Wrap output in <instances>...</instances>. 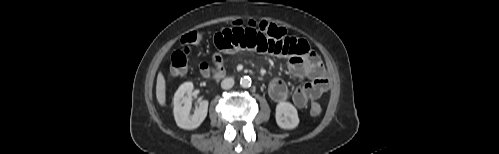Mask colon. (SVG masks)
Masks as SVG:
<instances>
[{
  "label": "colon",
  "mask_w": 499,
  "mask_h": 154,
  "mask_svg": "<svg viewBox=\"0 0 499 154\" xmlns=\"http://www.w3.org/2000/svg\"><path fill=\"white\" fill-rule=\"evenodd\" d=\"M242 22H238L235 26H242ZM248 25L252 28L258 29L260 32L266 34L267 36L282 40L286 38L287 32L284 28L267 22H249ZM200 35L195 32H188L181 38V48L171 55L170 59V73L173 76H180L186 73L188 69V55L190 53L191 47L200 41ZM322 111V107L318 102H313L310 107V114L312 116H318Z\"/></svg>",
  "instance_id": "obj_1"
}]
</instances>
